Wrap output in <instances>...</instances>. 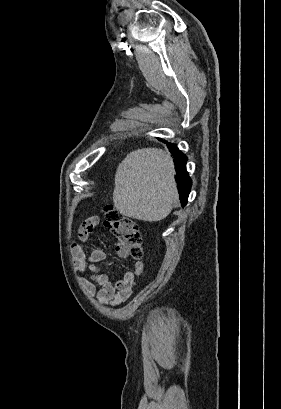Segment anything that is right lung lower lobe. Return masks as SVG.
Wrapping results in <instances>:
<instances>
[{
    "instance_id": "1",
    "label": "right lung lower lobe",
    "mask_w": 281,
    "mask_h": 409,
    "mask_svg": "<svg viewBox=\"0 0 281 409\" xmlns=\"http://www.w3.org/2000/svg\"><path fill=\"white\" fill-rule=\"evenodd\" d=\"M170 152L174 155L175 170L177 173V180L179 182L178 189L180 194V201L182 206H185L188 200V195L191 188V179L186 171L187 157L178 150L173 144H168Z\"/></svg>"
}]
</instances>
